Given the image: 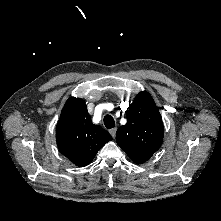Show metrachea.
Returning a JSON list of instances; mask_svg holds the SVG:
<instances>
[{"mask_svg":"<svg viewBox=\"0 0 221 221\" xmlns=\"http://www.w3.org/2000/svg\"><path fill=\"white\" fill-rule=\"evenodd\" d=\"M104 125L106 128L111 129L115 127V120L111 115H106L104 117Z\"/></svg>","mask_w":221,"mask_h":221,"instance_id":"obj_1","label":"trachea"}]
</instances>
